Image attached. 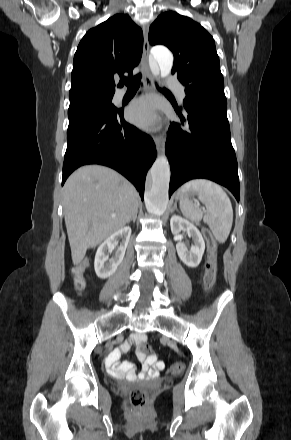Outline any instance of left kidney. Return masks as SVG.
Returning <instances> with one entry per match:
<instances>
[{
  "label": "left kidney",
  "mask_w": 291,
  "mask_h": 440,
  "mask_svg": "<svg viewBox=\"0 0 291 440\" xmlns=\"http://www.w3.org/2000/svg\"><path fill=\"white\" fill-rule=\"evenodd\" d=\"M170 227L174 235H178L181 231H184L188 234V237L192 238L193 245H191L190 250H188L181 241L176 244V250L180 260L185 265L191 268L197 267L201 262L205 250V242L198 228L179 215H173L171 217Z\"/></svg>",
  "instance_id": "1"
}]
</instances>
